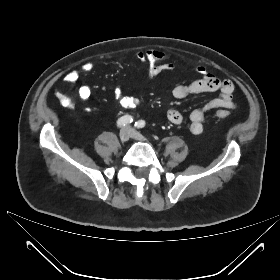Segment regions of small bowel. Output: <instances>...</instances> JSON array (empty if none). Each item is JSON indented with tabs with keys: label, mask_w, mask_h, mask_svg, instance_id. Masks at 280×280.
I'll list each match as a JSON object with an SVG mask.
<instances>
[{
	"label": "small bowel",
	"mask_w": 280,
	"mask_h": 280,
	"mask_svg": "<svg viewBox=\"0 0 280 280\" xmlns=\"http://www.w3.org/2000/svg\"><path fill=\"white\" fill-rule=\"evenodd\" d=\"M136 57L139 61L147 63V77L152 79L158 76L163 71L172 70L174 65L169 61L168 56L158 49L140 50L136 52ZM94 69L92 62H86L81 66V72L90 74ZM196 72L201 75V78L189 84H178L173 88V96L181 99L192 94H202L219 91L220 95L204 104L202 107L194 109L189 116V130L194 135L202 133L206 124V112L214 109H219L218 112H225L229 115L228 110L236 108V104L232 99L234 85L228 79H220L219 77L209 73L205 66L198 65ZM80 71L72 70L66 75V81L76 83L79 80ZM77 96L82 101H87L91 97V89L82 85L77 90ZM115 96L119 105L123 109H132L141 103V99L135 96L123 95L120 89L115 90ZM75 102L70 103V107L74 108ZM168 121L174 124H181L184 118L180 111L171 108L166 112Z\"/></svg>",
	"instance_id": "obj_1"
}]
</instances>
